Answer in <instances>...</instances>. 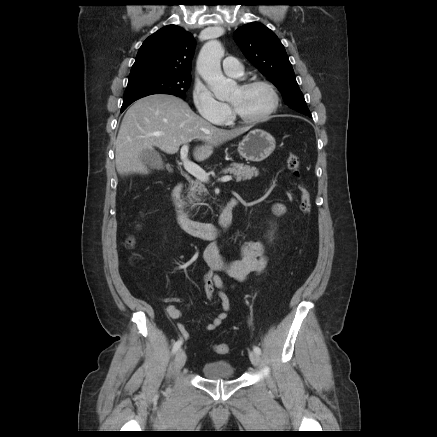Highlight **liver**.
I'll return each mask as SVG.
<instances>
[{
    "instance_id": "liver-1",
    "label": "liver",
    "mask_w": 437,
    "mask_h": 437,
    "mask_svg": "<svg viewBox=\"0 0 437 437\" xmlns=\"http://www.w3.org/2000/svg\"><path fill=\"white\" fill-rule=\"evenodd\" d=\"M248 128L221 129L195 114L182 99L155 94L137 100L123 117L115 144V166L119 175L148 174L142 153L158 147L167 154L198 139L197 162L209 158L213 148L245 133Z\"/></svg>"
}]
</instances>
